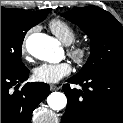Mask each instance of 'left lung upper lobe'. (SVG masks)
<instances>
[{"label":"left lung upper lobe","instance_id":"1","mask_svg":"<svg viewBox=\"0 0 123 123\" xmlns=\"http://www.w3.org/2000/svg\"><path fill=\"white\" fill-rule=\"evenodd\" d=\"M62 16L77 24L91 40L90 57L76 76L88 77L106 68L123 67V27L110 13L87 6Z\"/></svg>","mask_w":123,"mask_h":123}]
</instances>
